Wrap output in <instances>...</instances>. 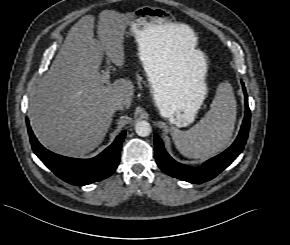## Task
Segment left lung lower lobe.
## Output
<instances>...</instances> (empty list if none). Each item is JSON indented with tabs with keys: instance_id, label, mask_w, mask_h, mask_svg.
<instances>
[{
	"instance_id": "0a47b994",
	"label": "left lung lower lobe",
	"mask_w": 290,
	"mask_h": 245,
	"mask_svg": "<svg viewBox=\"0 0 290 245\" xmlns=\"http://www.w3.org/2000/svg\"><path fill=\"white\" fill-rule=\"evenodd\" d=\"M245 95L246 112L241 126L240 133L235 142L223 153L209 159L200 167H189L176 162L164 149L162 140L155 135L156 162L160 169L166 174L191 183H203L217 176L222 170L228 167L242 152L246 143L250 127V109L248 106L247 93L242 84Z\"/></svg>"
}]
</instances>
